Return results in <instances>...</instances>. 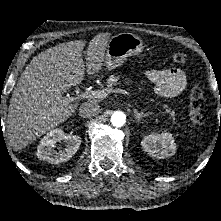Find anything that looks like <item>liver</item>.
Instances as JSON below:
<instances>
[{
    "instance_id": "1",
    "label": "liver",
    "mask_w": 221,
    "mask_h": 221,
    "mask_svg": "<svg viewBox=\"0 0 221 221\" xmlns=\"http://www.w3.org/2000/svg\"><path fill=\"white\" fill-rule=\"evenodd\" d=\"M110 36V33H101L93 37L87 48L86 65L82 59L83 40L56 45L31 60L9 104L7 135L15 151L25 148L75 113L79 104L64 102L63 94L83 81L85 70L93 75L102 69Z\"/></svg>"
}]
</instances>
